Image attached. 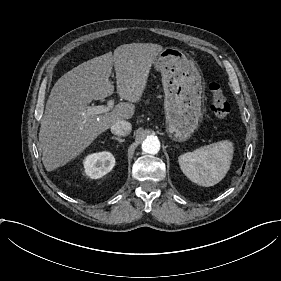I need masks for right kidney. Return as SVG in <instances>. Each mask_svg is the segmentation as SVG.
Listing matches in <instances>:
<instances>
[{
    "instance_id": "ca27d5eb",
    "label": "right kidney",
    "mask_w": 281,
    "mask_h": 281,
    "mask_svg": "<svg viewBox=\"0 0 281 281\" xmlns=\"http://www.w3.org/2000/svg\"><path fill=\"white\" fill-rule=\"evenodd\" d=\"M115 165V158L108 151L87 155L83 160L84 173L91 179L106 175Z\"/></svg>"
}]
</instances>
